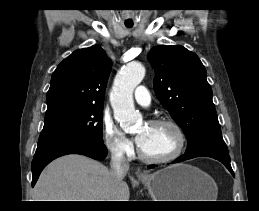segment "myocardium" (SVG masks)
<instances>
[{
    "label": "myocardium",
    "instance_id": "1",
    "mask_svg": "<svg viewBox=\"0 0 259 211\" xmlns=\"http://www.w3.org/2000/svg\"><path fill=\"white\" fill-rule=\"evenodd\" d=\"M149 124L169 126L174 131V134H175V138H176L175 148L168 155L160 156V157H153V156H149V155L145 154L138 144L137 153H138L139 158L142 161H144L146 163H150V164L168 163V162H171V161L175 160L176 158H178L180 156V154L182 153L184 146H185V142H186L185 134H184L181 126L175 120H173L171 118H166V117H161V118H156V119L150 120Z\"/></svg>",
    "mask_w": 259,
    "mask_h": 211
}]
</instances>
